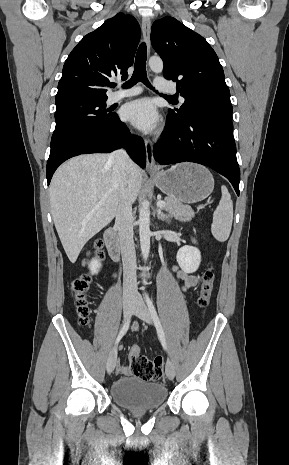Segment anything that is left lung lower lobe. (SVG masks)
Returning a JSON list of instances; mask_svg holds the SVG:
<instances>
[{"label": "left lung lower lobe", "instance_id": "1", "mask_svg": "<svg viewBox=\"0 0 289 465\" xmlns=\"http://www.w3.org/2000/svg\"><path fill=\"white\" fill-rule=\"evenodd\" d=\"M163 134L153 147L161 165L188 161L208 166L225 176L239 195L240 169L231 120L203 115L177 119L168 113Z\"/></svg>", "mask_w": 289, "mask_h": 465}]
</instances>
